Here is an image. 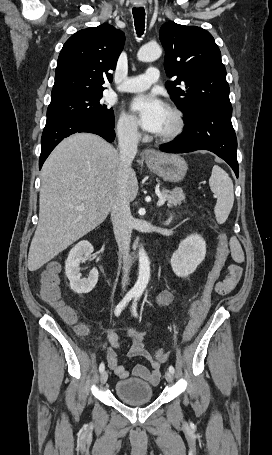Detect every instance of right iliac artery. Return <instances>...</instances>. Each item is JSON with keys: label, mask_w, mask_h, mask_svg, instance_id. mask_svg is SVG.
<instances>
[{"label": "right iliac artery", "mask_w": 272, "mask_h": 455, "mask_svg": "<svg viewBox=\"0 0 272 455\" xmlns=\"http://www.w3.org/2000/svg\"><path fill=\"white\" fill-rule=\"evenodd\" d=\"M135 296V293L134 292H128L125 297L122 299V301L116 306L115 308V315L116 316H119L120 313L122 312V310L124 309V307L126 306V304L131 301V299ZM105 369V365L104 363L102 362L99 366V371L100 373H102Z\"/></svg>", "instance_id": "obj_1"}]
</instances>
